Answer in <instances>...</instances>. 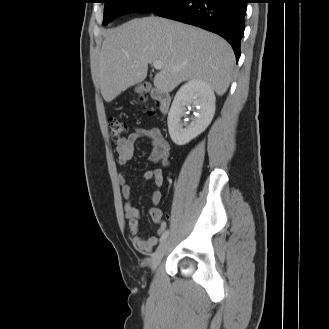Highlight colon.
Here are the masks:
<instances>
[{
    "mask_svg": "<svg viewBox=\"0 0 329 329\" xmlns=\"http://www.w3.org/2000/svg\"><path fill=\"white\" fill-rule=\"evenodd\" d=\"M147 111L150 115L155 114V108H149ZM108 126L111 138L116 141L122 139L127 132V125L114 117L109 119Z\"/></svg>",
    "mask_w": 329,
    "mask_h": 329,
    "instance_id": "1",
    "label": "colon"
}]
</instances>
